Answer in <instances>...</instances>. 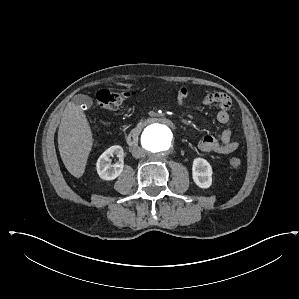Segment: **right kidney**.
I'll return each mask as SVG.
<instances>
[{"mask_svg":"<svg viewBox=\"0 0 299 299\" xmlns=\"http://www.w3.org/2000/svg\"><path fill=\"white\" fill-rule=\"evenodd\" d=\"M117 156L119 161L111 165L110 157ZM124 151L121 146L115 145L108 148L97 160L96 167L97 173L103 180H114L123 171L124 162Z\"/></svg>","mask_w":299,"mask_h":299,"instance_id":"ca27d5eb","label":"right kidney"}]
</instances>
